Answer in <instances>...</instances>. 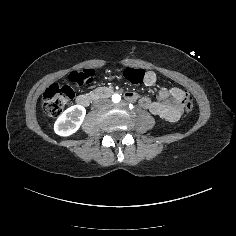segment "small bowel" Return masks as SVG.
I'll return each mask as SVG.
<instances>
[{
	"instance_id": "small-bowel-1",
	"label": "small bowel",
	"mask_w": 236,
	"mask_h": 236,
	"mask_svg": "<svg viewBox=\"0 0 236 236\" xmlns=\"http://www.w3.org/2000/svg\"><path fill=\"white\" fill-rule=\"evenodd\" d=\"M154 83V80L152 79V75H149V77L146 79V84L147 85H152ZM165 93H168L167 91H165ZM171 93L175 94L179 100L181 101L183 98V90L178 89V88H174L171 90Z\"/></svg>"
}]
</instances>
